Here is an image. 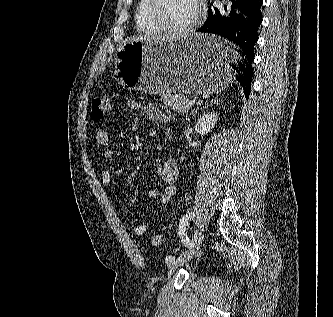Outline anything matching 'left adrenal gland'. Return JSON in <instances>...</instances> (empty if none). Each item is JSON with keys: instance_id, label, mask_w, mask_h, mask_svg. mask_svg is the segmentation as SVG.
Masks as SVG:
<instances>
[{"instance_id": "left-adrenal-gland-1", "label": "left adrenal gland", "mask_w": 333, "mask_h": 317, "mask_svg": "<svg viewBox=\"0 0 333 317\" xmlns=\"http://www.w3.org/2000/svg\"><path fill=\"white\" fill-rule=\"evenodd\" d=\"M219 102H220V101H219L218 99H212V100L210 101V104L207 105V106H205V108H207L208 106H212V105H218ZM197 110H199V108L196 109V110H193L191 113L194 114Z\"/></svg>"}]
</instances>
